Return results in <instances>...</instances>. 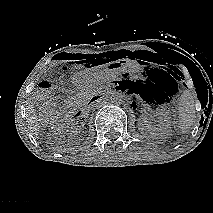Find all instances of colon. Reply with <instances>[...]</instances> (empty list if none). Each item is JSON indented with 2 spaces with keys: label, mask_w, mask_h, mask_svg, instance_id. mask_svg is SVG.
Listing matches in <instances>:
<instances>
[{
  "label": "colon",
  "mask_w": 213,
  "mask_h": 213,
  "mask_svg": "<svg viewBox=\"0 0 213 213\" xmlns=\"http://www.w3.org/2000/svg\"><path fill=\"white\" fill-rule=\"evenodd\" d=\"M40 88V102L44 105L46 110H50L54 104V99L51 92L52 85L49 82L43 81L40 84Z\"/></svg>",
  "instance_id": "5ec220e1"
}]
</instances>
